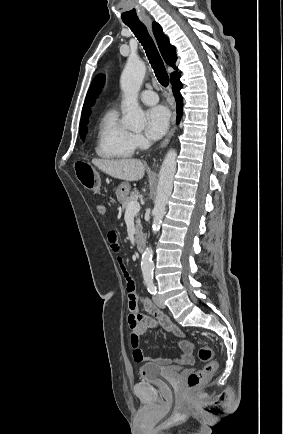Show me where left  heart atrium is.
<instances>
[{
    "label": "left heart atrium",
    "instance_id": "obj_1",
    "mask_svg": "<svg viewBox=\"0 0 283 434\" xmlns=\"http://www.w3.org/2000/svg\"><path fill=\"white\" fill-rule=\"evenodd\" d=\"M170 123L169 110L161 105L151 107L146 113V133L149 138L157 140L167 131Z\"/></svg>",
    "mask_w": 283,
    "mask_h": 434
}]
</instances>
